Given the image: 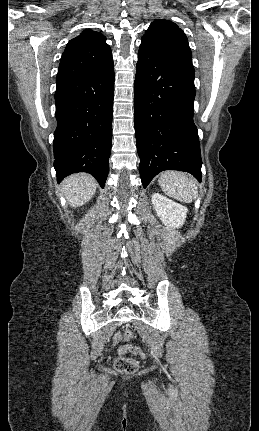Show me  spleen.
Instances as JSON below:
<instances>
[{"label":"spleen","mask_w":259,"mask_h":431,"mask_svg":"<svg viewBox=\"0 0 259 431\" xmlns=\"http://www.w3.org/2000/svg\"><path fill=\"white\" fill-rule=\"evenodd\" d=\"M158 183L166 195L178 201L190 203L197 196L195 181L184 172L164 171Z\"/></svg>","instance_id":"obj_1"}]
</instances>
